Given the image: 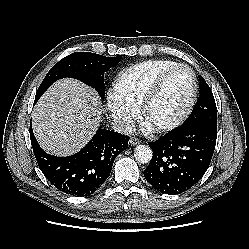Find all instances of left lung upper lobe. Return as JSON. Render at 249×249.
<instances>
[{
  "instance_id": "obj_1",
  "label": "left lung upper lobe",
  "mask_w": 249,
  "mask_h": 249,
  "mask_svg": "<svg viewBox=\"0 0 249 249\" xmlns=\"http://www.w3.org/2000/svg\"><path fill=\"white\" fill-rule=\"evenodd\" d=\"M200 97L195 109L183 126L207 125L217 127V108L213 93L206 81L199 76Z\"/></svg>"
}]
</instances>
